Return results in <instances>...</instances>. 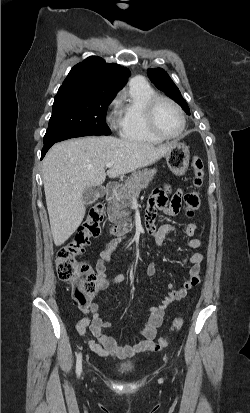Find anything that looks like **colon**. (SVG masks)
<instances>
[{"label": "colon", "mask_w": 250, "mask_h": 413, "mask_svg": "<svg viewBox=\"0 0 250 413\" xmlns=\"http://www.w3.org/2000/svg\"><path fill=\"white\" fill-rule=\"evenodd\" d=\"M194 189L184 196V210L188 217H192L194 212L200 206V194L198 189L202 186L204 177V165L199 157H194L193 161ZM103 217V205L98 203L94 205L87 219L77 229L72 240L61 247L56 256V271L62 281L72 284L74 299L80 306H86L92 302V297L96 288L97 274L90 268L87 263L77 260L92 238L99 235L100 222ZM183 326V318L176 317L171 325L172 333L179 331ZM169 343V337L164 336L158 339L156 344L158 349L166 347Z\"/></svg>", "instance_id": "1"}]
</instances>
